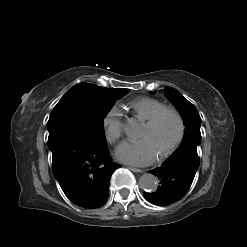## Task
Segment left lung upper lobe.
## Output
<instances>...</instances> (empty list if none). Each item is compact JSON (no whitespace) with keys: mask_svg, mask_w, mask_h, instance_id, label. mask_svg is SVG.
<instances>
[{"mask_svg":"<svg viewBox=\"0 0 247 247\" xmlns=\"http://www.w3.org/2000/svg\"><path fill=\"white\" fill-rule=\"evenodd\" d=\"M165 91V95L175 104L184 120L186 130L182 145H199L201 142V118L196 107L176 89L167 87Z\"/></svg>","mask_w":247,"mask_h":247,"instance_id":"obj_1","label":"left lung upper lobe"}]
</instances>
